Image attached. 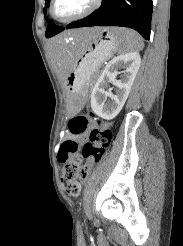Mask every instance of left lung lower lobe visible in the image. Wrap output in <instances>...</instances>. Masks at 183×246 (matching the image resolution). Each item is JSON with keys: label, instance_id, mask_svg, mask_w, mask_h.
<instances>
[{"label": "left lung lower lobe", "instance_id": "0a47b994", "mask_svg": "<svg viewBox=\"0 0 183 246\" xmlns=\"http://www.w3.org/2000/svg\"><path fill=\"white\" fill-rule=\"evenodd\" d=\"M152 0H103L91 15L71 22L66 29L89 26H121L139 32L149 40L151 32Z\"/></svg>", "mask_w": 183, "mask_h": 246}]
</instances>
